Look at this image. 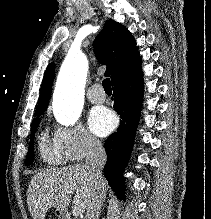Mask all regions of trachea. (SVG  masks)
Instances as JSON below:
<instances>
[{
    "label": "trachea",
    "instance_id": "1",
    "mask_svg": "<svg viewBox=\"0 0 211 219\" xmlns=\"http://www.w3.org/2000/svg\"><path fill=\"white\" fill-rule=\"evenodd\" d=\"M103 88L106 92H112L110 79L106 78L102 81Z\"/></svg>",
    "mask_w": 211,
    "mask_h": 219
}]
</instances>
